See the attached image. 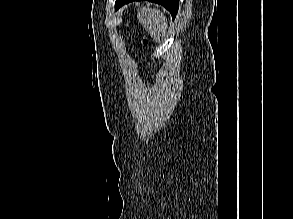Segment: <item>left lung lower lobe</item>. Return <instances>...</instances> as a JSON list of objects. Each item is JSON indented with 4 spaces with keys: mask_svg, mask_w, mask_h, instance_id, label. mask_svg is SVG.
<instances>
[{
    "mask_svg": "<svg viewBox=\"0 0 293 219\" xmlns=\"http://www.w3.org/2000/svg\"><path fill=\"white\" fill-rule=\"evenodd\" d=\"M132 1H142V0H116L115 9H119L124 4L132 2ZM148 1L163 5L168 11H170L173 19L176 17V14L179 8V0H148Z\"/></svg>",
    "mask_w": 293,
    "mask_h": 219,
    "instance_id": "1",
    "label": "left lung lower lobe"
}]
</instances>
